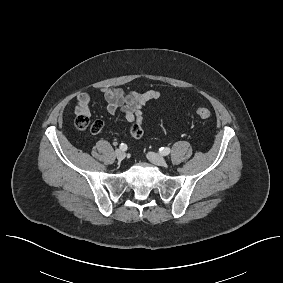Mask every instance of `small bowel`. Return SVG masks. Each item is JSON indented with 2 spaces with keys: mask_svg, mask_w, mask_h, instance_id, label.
Instances as JSON below:
<instances>
[{
  "mask_svg": "<svg viewBox=\"0 0 283 283\" xmlns=\"http://www.w3.org/2000/svg\"><path fill=\"white\" fill-rule=\"evenodd\" d=\"M102 94L107 104L108 113H121L131 124L129 131L132 137L139 139L144 135L143 107L151 100L158 99L157 90L127 91L122 88H103ZM90 95L81 92L76 97L75 113L88 116L90 114Z\"/></svg>",
  "mask_w": 283,
  "mask_h": 283,
  "instance_id": "small-bowel-1",
  "label": "small bowel"
}]
</instances>
